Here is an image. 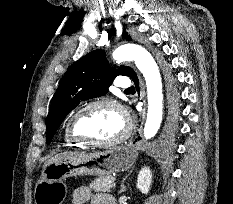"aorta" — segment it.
<instances>
[{
	"instance_id": "762f6f07",
	"label": "aorta",
	"mask_w": 233,
	"mask_h": 204,
	"mask_svg": "<svg viewBox=\"0 0 233 204\" xmlns=\"http://www.w3.org/2000/svg\"><path fill=\"white\" fill-rule=\"evenodd\" d=\"M112 57L117 62L134 60L145 78L148 113L144 126V137L151 139L160 128L163 115L162 81L157 63L145 48L133 43L121 45L115 49Z\"/></svg>"
}]
</instances>
